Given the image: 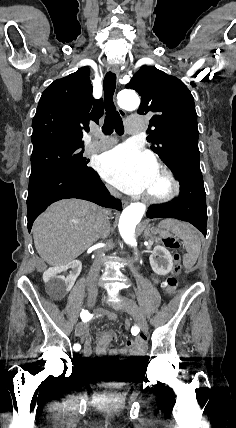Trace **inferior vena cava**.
Segmentation results:
<instances>
[{"instance_id":"obj_1","label":"inferior vena cava","mask_w":236,"mask_h":428,"mask_svg":"<svg viewBox=\"0 0 236 428\" xmlns=\"http://www.w3.org/2000/svg\"><path fill=\"white\" fill-rule=\"evenodd\" d=\"M110 192H111V194H115V192H114V190H112V188H110ZM105 216H106V214H105ZM110 220H111V217H108V220H107V223H110ZM97 252H96V256L97 257H95L94 258V263L92 264V267L88 270L89 272H88V291H86V294H87V296L88 297H96L97 296V286H98V281H97V276L99 275L98 273H99V271H100V267H101V264H100V257H102V255H103V253H104V249H97L96 250Z\"/></svg>"}]
</instances>
